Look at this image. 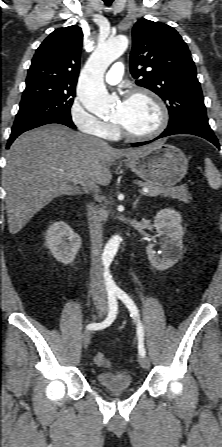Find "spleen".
Instances as JSON below:
<instances>
[{
    "label": "spleen",
    "instance_id": "1",
    "mask_svg": "<svg viewBox=\"0 0 222 447\" xmlns=\"http://www.w3.org/2000/svg\"><path fill=\"white\" fill-rule=\"evenodd\" d=\"M205 172L211 188L219 189L221 185L220 174L209 158L205 159Z\"/></svg>",
    "mask_w": 222,
    "mask_h": 447
}]
</instances>
